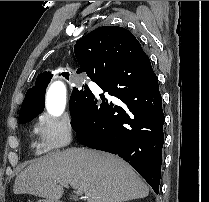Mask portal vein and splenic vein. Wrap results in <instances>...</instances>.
I'll return each instance as SVG.
<instances>
[{
  "mask_svg": "<svg viewBox=\"0 0 209 202\" xmlns=\"http://www.w3.org/2000/svg\"><path fill=\"white\" fill-rule=\"evenodd\" d=\"M57 183L63 185L66 188H69V185L66 181H56ZM73 193L76 194L77 196L83 195V191L81 189L73 188Z\"/></svg>",
  "mask_w": 209,
  "mask_h": 202,
  "instance_id": "1",
  "label": "portal vein and splenic vein"
}]
</instances>
